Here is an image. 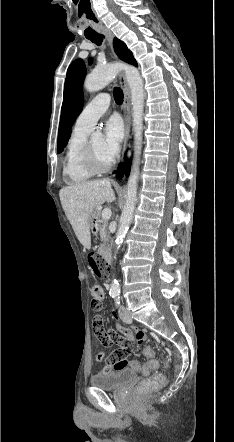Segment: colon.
I'll list each match as a JSON object with an SVG mask.
<instances>
[{
    "label": "colon",
    "instance_id": "1",
    "mask_svg": "<svg viewBox=\"0 0 234 442\" xmlns=\"http://www.w3.org/2000/svg\"><path fill=\"white\" fill-rule=\"evenodd\" d=\"M88 261L95 275L104 279L109 277V265L102 259L101 256L91 253L88 256ZM103 298L104 293L101 286L94 284L91 288V307L94 310H100L103 305ZM129 352L130 349H121L119 345V348L111 354L108 360V365L115 369L124 368L126 366L129 372H140L143 375H149L158 369L159 362L155 359L156 352L154 351L153 346L144 345L141 350L142 355L148 359L145 363H140L138 360L127 357ZM165 385L166 378L162 374H156L147 380H140L139 390L141 392H147L153 389H164Z\"/></svg>",
    "mask_w": 234,
    "mask_h": 442
}]
</instances>
